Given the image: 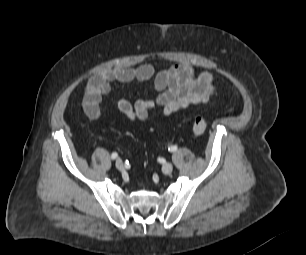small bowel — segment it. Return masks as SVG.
<instances>
[{
	"instance_id": "c3829d8e",
	"label": "small bowel",
	"mask_w": 306,
	"mask_h": 255,
	"mask_svg": "<svg viewBox=\"0 0 306 255\" xmlns=\"http://www.w3.org/2000/svg\"><path fill=\"white\" fill-rule=\"evenodd\" d=\"M153 79L157 95L153 99H139L131 102L120 98L118 110L129 122H145L154 108H161L164 116H170L191 105L206 103L215 93L212 73L197 74L189 64H176L155 72L151 64L133 68H113L92 76L86 85L83 108L91 120L101 118L100 103L114 83L131 84Z\"/></svg>"
}]
</instances>
